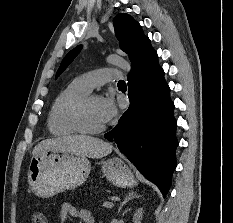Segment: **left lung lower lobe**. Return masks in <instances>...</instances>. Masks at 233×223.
<instances>
[{"mask_svg":"<svg viewBox=\"0 0 233 223\" xmlns=\"http://www.w3.org/2000/svg\"><path fill=\"white\" fill-rule=\"evenodd\" d=\"M130 106L105 134L165 197L176 168V120L170 89L149 45L128 76Z\"/></svg>","mask_w":233,"mask_h":223,"instance_id":"obj_1","label":"left lung lower lobe"}]
</instances>
